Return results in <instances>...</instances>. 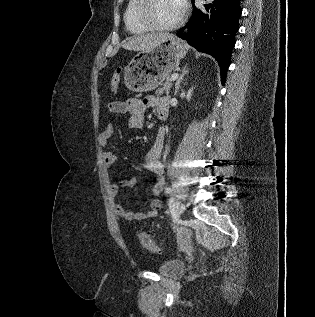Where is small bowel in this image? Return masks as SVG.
<instances>
[{
	"label": "small bowel",
	"mask_w": 315,
	"mask_h": 317,
	"mask_svg": "<svg viewBox=\"0 0 315 317\" xmlns=\"http://www.w3.org/2000/svg\"><path fill=\"white\" fill-rule=\"evenodd\" d=\"M148 108H154L158 118L164 120L168 114L169 100L167 97L147 96L142 99L131 98L124 102H112L108 105L110 113L114 115H127L128 126L132 129H140L144 126V113ZM114 132V123H109L105 130L99 135L98 140L100 144L107 146ZM163 142L164 130L160 128L145 159V168L156 176V179L150 188L151 194L154 197L150 203V209L144 212H135L122 204H116L115 210L118 216L128 221H136L153 218L158 215V212L162 207V203L158 199V196L164 187V164L160 160ZM103 162L108 173L112 174L116 162L114 153L110 150L105 151L103 153ZM135 184L136 179L129 176L119 182L112 183L109 191L113 197H116L120 188H132Z\"/></svg>",
	"instance_id": "c3829d8e"
}]
</instances>
